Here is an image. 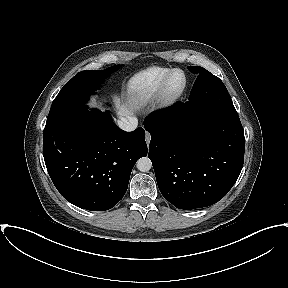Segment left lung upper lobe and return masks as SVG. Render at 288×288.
<instances>
[{
  "label": "left lung upper lobe",
  "mask_w": 288,
  "mask_h": 288,
  "mask_svg": "<svg viewBox=\"0 0 288 288\" xmlns=\"http://www.w3.org/2000/svg\"><path fill=\"white\" fill-rule=\"evenodd\" d=\"M188 70L198 74L189 101L200 105H212L229 111H236L225 85L218 77L202 67L188 66Z\"/></svg>",
  "instance_id": "1"
}]
</instances>
